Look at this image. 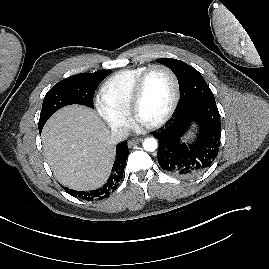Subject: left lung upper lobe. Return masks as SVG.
<instances>
[{"label":"left lung upper lobe","mask_w":269,"mask_h":269,"mask_svg":"<svg viewBox=\"0 0 269 269\" xmlns=\"http://www.w3.org/2000/svg\"><path fill=\"white\" fill-rule=\"evenodd\" d=\"M157 61L172 69L177 76L182 97L180 109L196 102H215L212 91L195 68L177 59Z\"/></svg>","instance_id":"left-lung-upper-lobe-1"}]
</instances>
